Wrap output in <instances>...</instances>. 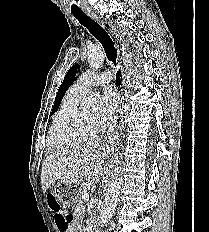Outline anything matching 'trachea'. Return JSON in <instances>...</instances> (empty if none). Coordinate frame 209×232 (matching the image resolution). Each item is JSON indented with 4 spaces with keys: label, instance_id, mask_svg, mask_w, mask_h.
<instances>
[{
    "label": "trachea",
    "instance_id": "3493384b",
    "mask_svg": "<svg viewBox=\"0 0 209 232\" xmlns=\"http://www.w3.org/2000/svg\"><path fill=\"white\" fill-rule=\"evenodd\" d=\"M71 13L80 22V24L86 27V29L102 44L108 60L115 64L117 49L115 48V43L106 30L82 10L73 11ZM116 81L118 85H120L119 73L117 74Z\"/></svg>",
    "mask_w": 209,
    "mask_h": 232
}]
</instances>
